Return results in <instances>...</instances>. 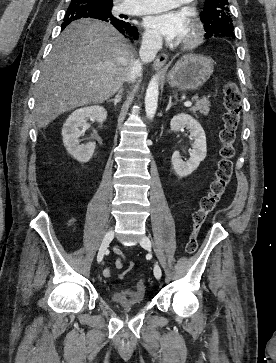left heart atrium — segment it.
Segmentation results:
<instances>
[{
    "mask_svg": "<svg viewBox=\"0 0 276 363\" xmlns=\"http://www.w3.org/2000/svg\"><path fill=\"white\" fill-rule=\"evenodd\" d=\"M144 25L154 37L168 41L183 40L190 28L188 15L184 11H168L149 16L144 20Z\"/></svg>",
    "mask_w": 276,
    "mask_h": 363,
    "instance_id": "1",
    "label": "left heart atrium"
}]
</instances>
